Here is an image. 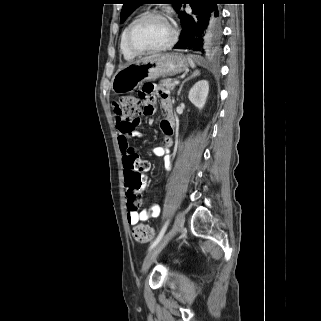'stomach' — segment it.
<instances>
[{
	"label": "stomach",
	"instance_id": "obj_1",
	"mask_svg": "<svg viewBox=\"0 0 321 321\" xmlns=\"http://www.w3.org/2000/svg\"><path fill=\"white\" fill-rule=\"evenodd\" d=\"M189 62L181 54L166 53L125 65L115 73L111 87L116 94L129 93L143 81L174 76L188 69Z\"/></svg>",
	"mask_w": 321,
	"mask_h": 321
}]
</instances>
